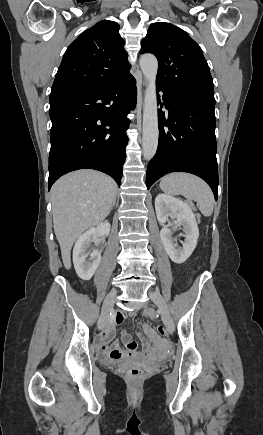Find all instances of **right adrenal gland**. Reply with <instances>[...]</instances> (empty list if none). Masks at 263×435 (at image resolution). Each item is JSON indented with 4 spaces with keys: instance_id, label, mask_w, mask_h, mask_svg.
<instances>
[{
    "instance_id": "obj_1",
    "label": "right adrenal gland",
    "mask_w": 263,
    "mask_h": 435,
    "mask_svg": "<svg viewBox=\"0 0 263 435\" xmlns=\"http://www.w3.org/2000/svg\"><path fill=\"white\" fill-rule=\"evenodd\" d=\"M115 204H116V200L113 202V204H112V207H114L115 206Z\"/></svg>"
}]
</instances>
